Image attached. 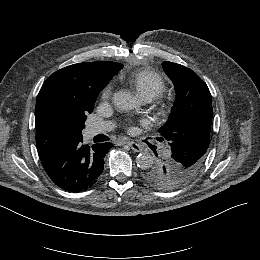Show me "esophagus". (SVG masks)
<instances>
[{"instance_id": "obj_1", "label": "esophagus", "mask_w": 260, "mask_h": 260, "mask_svg": "<svg viewBox=\"0 0 260 260\" xmlns=\"http://www.w3.org/2000/svg\"><path fill=\"white\" fill-rule=\"evenodd\" d=\"M128 145L135 152H141L142 151V147L139 144H137L136 142L131 141V142L128 143Z\"/></svg>"}]
</instances>
